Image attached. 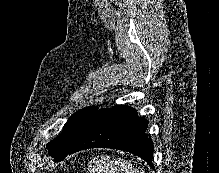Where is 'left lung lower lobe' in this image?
Returning a JSON list of instances; mask_svg holds the SVG:
<instances>
[{"instance_id":"0a47b994","label":"left lung lower lobe","mask_w":219,"mask_h":173,"mask_svg":"<svg viewBox=\"0 0 219 173\" xmlns=\"http://www.w3.org/2000/svg\"><path fill=\"white\" fill-rule=\"evenodd\" d=\"M147 125L148 121L139 117L136 110L127 105L98 110L74 144L56 161L83 149L102 147L138 155L154 168V145L144 133Z\"/></svg>"}]
</instances>
